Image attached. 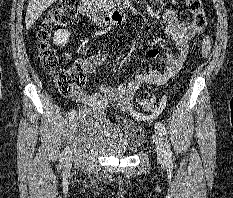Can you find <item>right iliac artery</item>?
<instances>
[{"mask_svg": "<svg viewBox=\"0 0 233 198\" xmlns=\"http://www.w3.org/2000/svg\"><path fill=\"white\" fill-rule=\"evenodd\" d=\"M75 114H76V110H72L70 113H69V119H73L74 118V116H75ZM64 154L62 153L61 155H60V160L61 161H63V159H64Z\"/></svg>", "mask_w": 233, "mask_h": 198, "instance_id": "82829eb1", "label": "right iliac artery"}]
</instances>
